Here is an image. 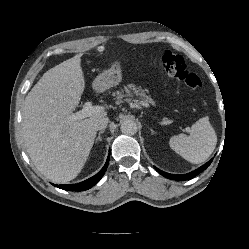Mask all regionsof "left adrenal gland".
Wrapping results in <instances>:
<instances>
[{
  "label": "left adrenal gland",
  "instance_id": "a2214340",
  "mask_svg": "<svg viewBox=\"0 0 249 249\" xmlns=\"http://www.w3.org/2000/svg\"><path fill=\"white\" fill-rule=\"evenodd\" d=\"M150 130H151V133L154 134V131L152 129H150Z\"/></svg>",
  "mask_w": 249,
  "mask_h": 249
}]
</instances>
